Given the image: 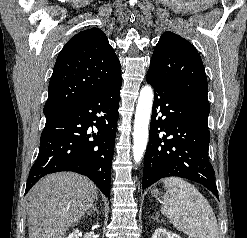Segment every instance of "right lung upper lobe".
Returning a JSON list of instances; mask_svg holds the SVG:
<instances>
[{"mask_svg":"<svg viewBox=\"0 0 247 238\" xmlns=\"http://www.w3.org/2000/svg\"><path fill=\"white\" fill-rule=\"evenodd\" d=\"M121 78V66L98 28L76 34L56 59L44 107L46 120L81 103Z\"/></svg>","mask_w":247,"mask_h":238,"instance_id":"obj_1","label":"right lung upper lobe"}]
</instances>
